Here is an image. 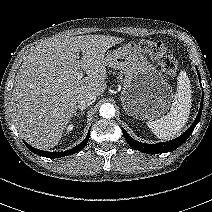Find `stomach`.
<instances>
[{
    "label": "stomach",
    "instance_id": "obj_1",
    "mask_svg": "<svg viewBox=\"0 0 212 212\" xmlns=\"http://www.w3.org/2000/svg\"><path fill=\"white\" fill-rule=\"evenodd\" d=\"M105 62L124 74L121 103L129 116L154 119L169 109L173 99L172 87L135 42L108 52Z\"/></svg>",
    "mask_w": 212,
    "mask_h": 212
}]
</instances>
